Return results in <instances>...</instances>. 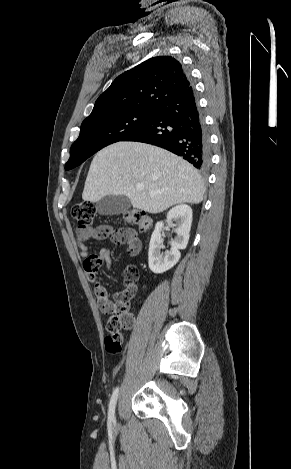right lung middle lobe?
<instances>
[{
	"label": "right lung middle lobe",
	"mask_w": 291,
	"mask_h": 469,
	"mask_svg": "<svg viewBox=\"0 0 291 469\" xmlns=\"http://www.w3.org/2000/svg\"><path fill=\"white\" fill-rule=\"evenodd\" d=\"M153 110L132 109L104 118L84 120L65 169H72L105 146L122 141L152 116Z\"/></svg>",
	"instance_id": "obj_1"
}]
</instances>
